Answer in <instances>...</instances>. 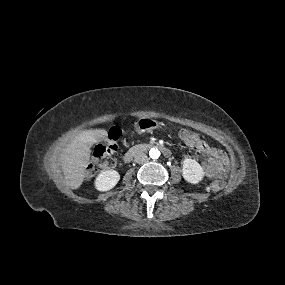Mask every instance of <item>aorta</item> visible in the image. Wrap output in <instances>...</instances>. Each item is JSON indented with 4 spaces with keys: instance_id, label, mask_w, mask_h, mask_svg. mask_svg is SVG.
<instances>
[{
    "instance_id": "obj_1",
    "label": "aorta",
    "mask_w": 285,
    "mask_h": 285,
    "mask_svg": "<svg viewBox=\"0 0 285 285\" xmlns=\"http://www.w3.org/2000/svg\"><path fill=\"white\" fill-rule=\"evenodd\" d=\"M149 156L152 159H158L160 157V151L158 148H151L149 151Z\"/></svg>"
}]
</instances>
